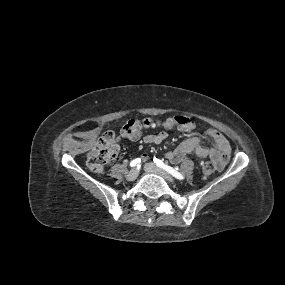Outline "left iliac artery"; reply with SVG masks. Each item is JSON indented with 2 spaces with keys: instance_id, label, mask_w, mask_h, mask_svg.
Returning <instances> with one entry per match:
<instances>
[{
  "instance_id": "44dca946",
  "label": "left iliac artery",
  "mask_w": 285,
  "mask_h": 285,
  "mask_svg": "<svg viewBox=\"0 0 285 285\" xmlns=\"http://www.w3.org/2000/svg\"><path fill=\"white\" fill-rule=\"evenodd\" d=\"M154 163L159 167L170 173L172 176L179 180H183L184 176L179 173L177 170L173 169L172 167L168 166L167 164L163 163L160 159L154 157L153 159Z\"/></svg>"
}]
</instances>
